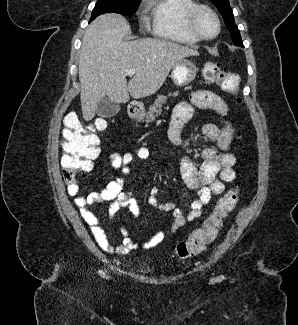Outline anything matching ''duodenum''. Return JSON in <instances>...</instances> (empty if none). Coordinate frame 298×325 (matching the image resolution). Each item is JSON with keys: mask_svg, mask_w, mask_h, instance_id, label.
<instances>
[{"mask_svg": "<svg viewBox=\"0 0 298 325\" xmlns=\"http://www.w3.org/2000/svg\"><path fill=\"white\" fill-rule=\"evenodd\" d=\"M138 111H139V107L137 105H132L130 107V114L132 116H135L138 113Z\"/></svg>", "mask_w": 298, "mask_h": 325, "instance_id": "1", "label": "duodenum"}]
</instances>
